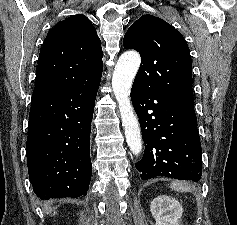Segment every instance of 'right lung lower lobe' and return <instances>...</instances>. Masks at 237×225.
<instances>
[{
    "instance_id": "right-lung-lower-lobe-1",
    "label": "right lung lower lobe",
    "mask_w": 237,
    "mask_h": 225,
    "mask_svg": "<svg viewBox=\"0 0 237 225\" xmlns=\"http://www.w3.org/2000/svg\"><path fill=\"white\" fill-rule=\"evenodd\" d=\"M100 80L60 97L32 101L26 154L30 182L40 199L87 194L91 121Z\"/></svg>"
}]
</instances>
